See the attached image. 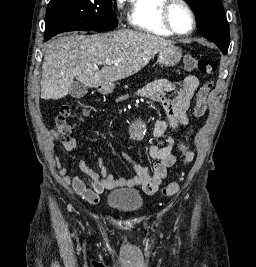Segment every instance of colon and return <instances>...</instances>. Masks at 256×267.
I'll use <instances>...</instances> for the list:
<instances>
[{
    "label": "colon",
    "mask_w": 256,
    "mask_h": 267,
    "mask_svg": "<svg viewBox=\"0 0 256 267\" xmlns=\"http://www.w3.org/2000/svg\"><path fill=\"white\" fill-rule=\"evenodd\" d=\"M184 65L188 70L197 71L203 76L210 79L199 86L195 93V99L193 104L192 113L195 118H201L205 113L207 106V96L212 88L211 78L215 76L216 64L210 57H193L189 56L184 59ZM88 110V106L78 104L76 109L70 107H63L60 109L56 118V133L60 139H71L74 135V125L70 119L74 116L75 112H85ZM183 149V160L180 171L183 167L190 165L193 159V152L187 147L184 141L181 142ZM182 178V174H177V180L173 181L162 188V194L165 196H173L179 191V181Z\"/></svg>",
    "instance_id": "1"
}]
</instances>
